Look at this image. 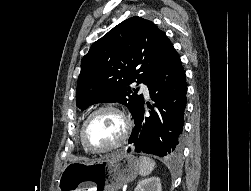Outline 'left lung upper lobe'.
Segmentation results:
<instances>
[{
    "label": "left lung upper lobe",
    "instance_id": "left-lung-upper-lobe-1",
    "mask_svg": "<svg viewBox=\"0 0 251 191\" xmlns=\"http://www.w3.org/2000/svg\"><path fill=\"white\" fill-rule=\"evenodd\" d=\"M173 45L153 22L134 16L91 46L82 58L76 104L82 111L100 102H120L133 118L144 98L131 84L148 85Z\"/></svg>",
    "mask_w": 251,
    "mask_h": 191
}]
</instances>
